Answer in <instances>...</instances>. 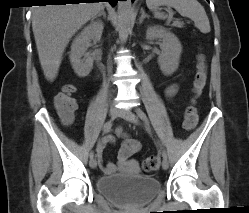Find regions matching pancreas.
I'll use <instances>...</instances> for the list:
<instances>
[{
    "mask_svg": "<svg viewBox=\"0 0 249 213\" xmlns=\"http://www.w3.org/2000/svg\"><path fill=\"white\" fill-rule=\"evenodd\" d=\"M172 26H173V27L182 28V27H183V22L174 21V22L172 23Z\"/></svg>",
    "mask_w": 249,
    "mask_h": 213,
    "instance_id": "obj_1",
    "label": "pancreas"
}]
</instances>
